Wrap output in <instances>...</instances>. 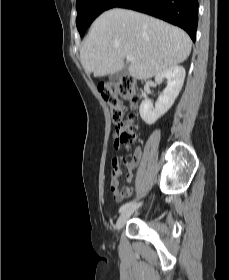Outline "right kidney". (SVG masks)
Returning a JSON list of instances; mask_svg holds the SVG:
<instances>
[{"label": "right kidney", "mask_w": 229, "mask_h": 280, "mask_svg": "<svg viewBox=\"0 0 229 280\" xmlns=\"http://www.w3.org/2000/svg\"><path fill=\"white\" fill-rule=\"evenodd\" d=\"M185 74V69L182 66H173L156 75V82H160L162 79L166 78L168 80V85L159 95L155 103V108L148 99L142 101L139 112L145 123L149 125L154 124L172 107L182 89Z\"/></svg>", "instance_id": "right-kidney-1"}]
</instances>
